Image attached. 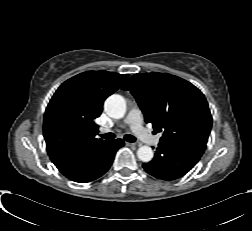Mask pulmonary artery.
Returning a JSON list of instances; mask_svg holds the SVG:
<instances>
[{
	"mask_svg": "<svg viewBox=\"0 0 252 231\" xmlns=\"http://www.w3.org/2000/svg\"><path fill=\"white\" fill-rule=\"evenodd\" d=\"M123 123L128 125L132 132L143 142L153 145L160 143L161 135H154L143 126L142 113L138 108H131L124 118ZM101 132H106V129H101Z\"/></svg>",
	"mask_w": 252,
	"mask_h": 231,
	"instance_id": "e3ab8cb5",
	"label": "pulmonary artery"
}]
</instances>
